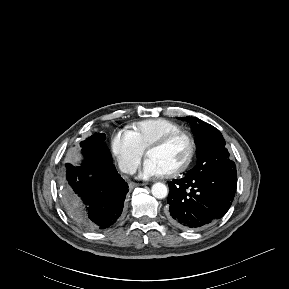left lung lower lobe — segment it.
<instances>
[{
  "label": "left lung lower lobe",
  "instance_id": "left-lung-lower-lobe-1",
  "mask_svg": "<svg viewBox=\"0 0 289 289\" xmlns=\"http://www.w3.org/2000/svg\"><path fill=\"white\" fill-rule=\"evenodd\" d=\"M237 178L218 169L169 182L167 218L176 227L203 228L222 218L236 192Z\"/></svg>",
  "mask_w": 289,
  "mask_h": 289
}]
</instances>
